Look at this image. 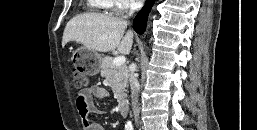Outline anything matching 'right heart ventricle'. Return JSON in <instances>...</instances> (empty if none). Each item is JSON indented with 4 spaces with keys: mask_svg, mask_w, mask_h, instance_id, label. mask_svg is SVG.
<instances>
[{
    "mask_svg": "<svg viewBox=\"0 0 257 130\" xmlns=\"http://www.w3.org/2000/svg\"><path fill=\"white\" fill-rule=\"evenodd\" d=\"M112 0H87L88 6L97 11H106L113 8Z\"/></svg>",
    "mask_w": 257,
    "mask_h": 130,
    "instance_id": "1",
    "label": "right heart ventricle"
}]
</instances>
